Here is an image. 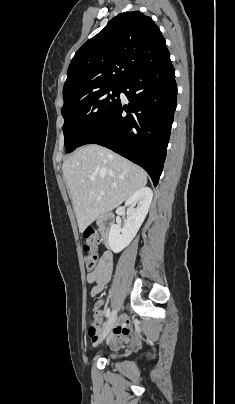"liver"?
Instances as JSON below:
<instances>
[{
	"label": "liver",
	"mask_w": 235,
	"mask_h": 404,
	"mask_svg": "<svg viewBox=\"0 0 235 404\" xmlns=\"http://www.w3.org/2000/svg\"><path fill=\"white\" fill-rule=\"evenodd\" d=\"M62 171L80 232L147 183L142 168L97 144L76 150L63 162Z\"/></svg>",
	"instance_id": "1"
}]
</instances>
